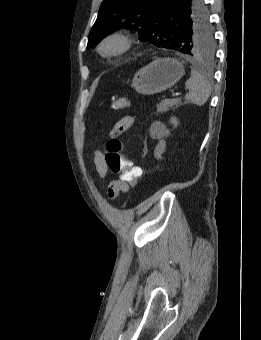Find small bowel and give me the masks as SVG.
<instances>
[{
  "label": "small bowel",
  "instance_id": "obj_1",
  "mask_svg": "<svg viewBox=\"0 0 261 340\" xmlns=\"http://www.w3.org/2000/svg\"><path fill=\"white\" fill-rule=\"evenodd\" d=\"M134 124V117L131 115L123 116L119 119L111 131L112 136H119L128 131ZM92 162L95 170L101 179L105 178L108 172V165L105 161V156L101 151H95L92 155ZM129 190V185L122 179L113 180L108 184L107 193L109 198L117 199L120 194L126 193Z\"/></svg>",
  "mask_w": 261,
  "mask_h": 340
}]
</instances>
